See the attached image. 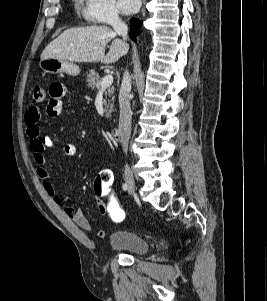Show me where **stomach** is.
I'll return each instance as SVG.
<instances>
[{
  "label": "stomach",
  "instance_id": "1",
  "mask_svg": "<svg viewBox=\"0 0 267 301\" xmlns=\"http://www.w3.org/2000/svg\"><path fill=\"white\" fill-rule=\"evenodd\" d=\"M39 66L44 72L51 74L65 73L67 75L77 76L80 73V68L78 65H76L74 62L62 59H44L40 61Z\"/></svg>",
  "mask_w": 267,
  "mask_h": 301
}]
</instances>
